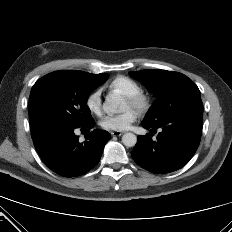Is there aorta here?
Returning <instances> with one entry per match:
<instances>
[{"mask_svg":"<svg viewBox=\"0 0 232 232\" xmlns=\"http://www.w3.org/2000/svg\"><path fill=\"white\" fill-rule=\"evenodd\" d=\"M106 113H122L125 110V101L118 94H109L104 103ZM122 143L127 147H133L137 143V137L133 133H125L122 136Z\"/></svg>","mask_w":232,"mask_h":232,"instance_id":"762f6f07","label":"aorta"}]
</instances>
